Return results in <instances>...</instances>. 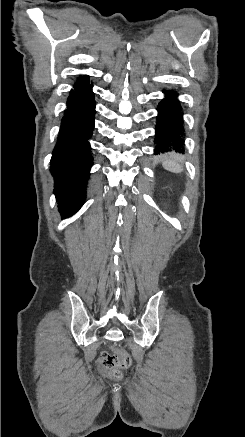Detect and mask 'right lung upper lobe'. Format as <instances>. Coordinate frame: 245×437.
Here are the masks:
<instances>
[{
    "mask_svg": "<svg viewBox=\"0 0 245 437\" xmlns=\"http://www.w3.org/2000/svg\"><path fill=\"white\" fill-rule=\"evenodd\" d=\"M90 82V80L87 78V76L84 77H79L77 79V81L74 83V87H80V86H85L88 85Z\"/></svg>",
    "mask_w": 245,
    "mask_h": 437,
    "instance_id": "1",
    "label": "right lung upper lobe"
}]
</instances>
